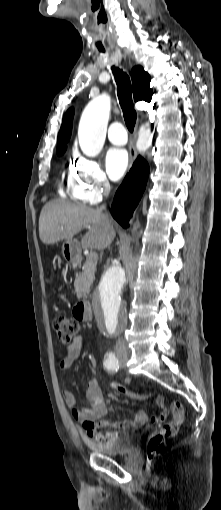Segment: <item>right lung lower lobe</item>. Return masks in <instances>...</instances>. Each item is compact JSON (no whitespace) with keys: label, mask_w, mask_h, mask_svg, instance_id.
I'll return each mask as SVG.
<instances>
[{"label":"right lung lower lobe","mask_w":221,"mask_h":510,"mask_svg":"<svg viewBox=\"0 0 221 510\" xmlns=\"http://www.w3.org/2000/svg\"><path fill=\"white\" fill-rule=\"evenodd\" d=\"M149 175V166L140 156L116 192L111 206L112 216L126 228L144 190Z\"/></svg>","instance_id":"right-lung-lower-lobe-1"}]
</instances>
